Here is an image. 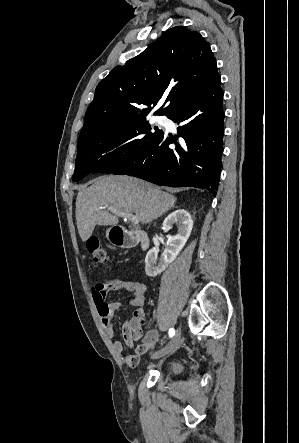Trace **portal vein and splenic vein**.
Here are the masks:
<instances>
[{"instance_id":"portal-vein-and-splenic-vein-1","label":"portal vein and splenic vein","mask_w":299,"mask_h":443,"mask_svg":"<svg viewBox=\"0 0 299 443\" xmlns=\"http://www.w3.org/2000/svg\"><path fill=\"white\" fill-rule=\"evenodd\" d=\"M111 211L113 213L119 214L121 217L129 219L133 225H136L139 223V219L136 215H133L130 213L118 212L117 210H113V209H111Z\"/></svg>"}]
</instances>
